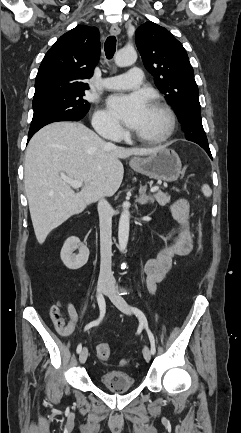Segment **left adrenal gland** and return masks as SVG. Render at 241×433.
I'll return each mask as SVG.
<instances>
[{"label": "left adrenal gland", "mask_w": 241, "mask_h": 433, "mask_svg": "<svg viewBox=\"0 0 241 433\" xmlns=\"http://www.w3.org/2000/svg\"><path fill=\"white\" fill-rule=\"evenodd\" d=\"M146 189L147 186L141 187L139 190V198L137 199V202L141 205H145L148 202L153 203L154 199L151 195H146Z\"/></svg>", "instance_id": "obj_1"}]
</instances>
